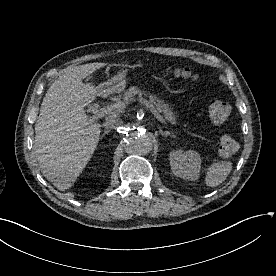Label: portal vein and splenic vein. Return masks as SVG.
I'll return each instance as SVG.
<instances>
[{
	"label": "portal vein and splenic vein",
	"instance_id": "18ae733b",
	"mask_svg": "<svg viewBox=\"0 0 276 276\" xmlns=\"http://www.w3.org/2000/svg\"><path fill=\"white\" fill-rule=\"evenodd\" d=\"M141 104L149 108V110L154 114V116L162 123H165L163 117L159 114L156 108L145 99H140ZM126 108V104L123 102L114 103L108 105L107 107L101 108L96 116L92 118V120L97 119L98 117H104L106 115H115L117 113L122 112Z\"/></svg>",
	"mask_w": 276,
	"mask_h": 276
}]
</instances>
